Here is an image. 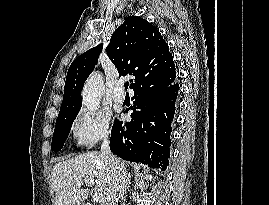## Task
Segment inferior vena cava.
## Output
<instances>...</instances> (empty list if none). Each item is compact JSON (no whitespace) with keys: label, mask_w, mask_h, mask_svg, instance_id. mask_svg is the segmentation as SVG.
I'll use <instances>...</instances> for the list:
<instances>
[{"label":"inferior vena cava","mask_w":269,"mask_h":205,"mask_svg":"<svg viewBox=\"0 0 269 205\" xmlns=\"http://www.w3.org/2000/svg\"><path fill=\"white\" fill-rule=\"evenodd\" d=\"M109 143V133H106L103 137L101 153L111 168L112 180L103 205H118L119 200L126 192L128 178L124 163L112 154Z\"/></svg>","instance_id":"inferior-vena-cava-1"}]
</instances>
